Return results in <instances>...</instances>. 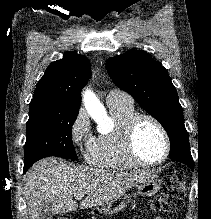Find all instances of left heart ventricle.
Segmentation results:
<instances>
[{
	"label": "left heart ventricle",
	"instance_id": "left-heart-ventricle-1",
	"mask_svg": "<svg viewBox=\"0 0 211 219\" xmlns=\"http://www.w3.org/2000/svg\"><path fill=\"white\" fill-rule=\"evenodd\" d=\"M135 146L141 160L148 163L160 160L165 149L160 130L149 120L139 123L135 133Z\"/></svg>",
	"mask_w": 211,
	"mask_h": 219
}]
</instances>
